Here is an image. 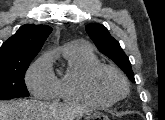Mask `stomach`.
Listing matches in <instances>:
<instances>
[{
    "label": "stomach",
    "instance_id": "stomach-1",
    "mask_svg": "<svg viewBox=\"0 0 165 120\" xmlns=\"http://www.w3.org/2000/svg\"><path fill=\"white\" fill-rule=\"evenodd\" d=\"M82 117H84L85 120H92V119L101 118V117H103V120H109L106 115L98 111L86 112L85 114L82 115Z\"/></svg>",
    "mask_w": 165,
    "mask_h": 120
}]
</instances>
